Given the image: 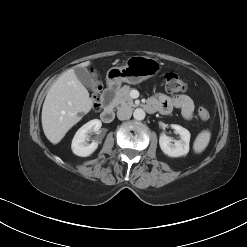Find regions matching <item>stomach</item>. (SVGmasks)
Masks as SVG:
<instances>
[{
    "label": "stomach",
    "mask_w": 247,
    "mask_h": 247,
    "mask_svg": "<svg viewBox=\"0 0 247 247\" xmlns=\"http://www.w3.org/2000/svg\"><path fill=\"white\" fill-rule=\"evenodd\" d=\"M160 70L161 64L157 59L147 56H130L124 66L110 68L106 79L111 86H118L122 82L138 84L153 77Z\"/></svg>",
    "instance_id": "obj_1"
}]
</instances>
